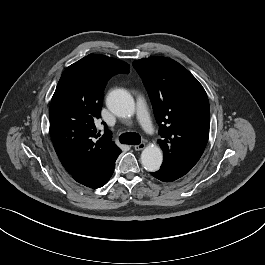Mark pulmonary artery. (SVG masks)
Returning a JSON list of instances; mask_svg holds the SVG:
<instances>
[{
  "mask_svg": "<svg viewBox=\"0 0 265 265\" xmlns=\"http://www.w3.org/2000/svg\"><path fill=\"white\" fill-rule=\"evenodd\" d=\"M136 109H137L139 121H140L141 125L143 126L144 130L147 133L152 134L154 132V126H153L152 121L149 117L146 103L142 97L137 98Z\"/></svg>",
  "mask_w": 265,
  "mask_h": 265,
  "instance_id": "e3ab8cb5",
  "label": "pulmonary artery"
}]
</instances>
